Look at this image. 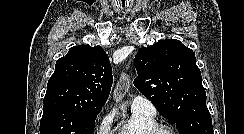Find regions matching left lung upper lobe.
Masks as SVG:
<instances>
[{
	"label": "left lung upper lobe",
	"mask_w": 244,
	"mask_h": 134,
	"mask_svg": "<svg viewBox=\"0 0 244 134\" xmlns=\"http://www.w3.org/2000/svg\"><path fill=\"white\" fill-rule=\"evenodd\" d=\"M134 85L180 134H213L206 92L195 54L180 41L167 39L141 48L134 61Z\"/></svg>",
	"instance_id": "left-lung-upper-lobe-1"
}]
</instances>
